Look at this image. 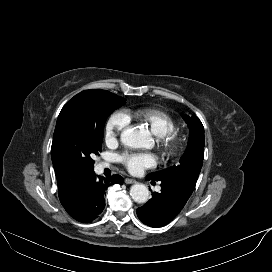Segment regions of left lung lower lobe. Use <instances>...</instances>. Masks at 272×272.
<instances>
[{
  "label": "left lung lower lobe",
  "mask_w": 272,
  "mask_h": 272,
  "mask_svg": "<svg viewBox=\"0 0 272 272\" xmlns=\"http://www.w3.org/2000/svg\"><path fill=\"white\" fill-rule=\"evenodd\" d=\"M190 196L179 186L161 182V192L153 193L152 198L137 209V216L148 226L162 227L179 214Z\"/></svg>",
  "instance_id": "left-lung-lower-lobe-1"
}]
</instances>
